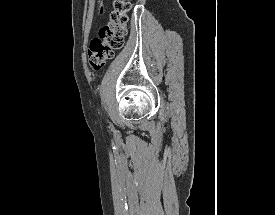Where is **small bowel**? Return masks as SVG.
I'll list each match as a JSON object with an SVG mask.
<instances>
[{
	"label": "small bowel",
	"mask_w": 275,
	"mask_h": 215,
	"mask_svg": "<svg viewBox=\"0 0 275 215\" xmlns=\"http://www.w3.org/2000/svg\"><path fill=\"white\" fill-rule=\"evenodd\" d=\"M104 11L103 1L99 0V14H102Z\"/></svg>",
	"instance_id": "obj_1"
}]
</instances>
